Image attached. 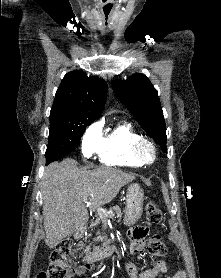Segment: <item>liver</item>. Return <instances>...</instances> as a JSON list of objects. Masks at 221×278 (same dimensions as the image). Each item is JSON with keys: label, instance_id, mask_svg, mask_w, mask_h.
<instances>
[{"label": "liver", "instance_id": "1", "mask_svg": "<svg viewBox=\"0 0 221 278\" xmlns=\"http://www.w3.org/2000/svg\"><path fill=\"white\" fill-rule=\"evenodd\" d=\"M135 176L111 167L79 169L73 159L45 168L42 190L45 243L53 247L88 221V211L111 202ZM89 198V202L87 199Z\"/></svg>", "mask_w": 221, "mask_h": 278}]
</instances>
